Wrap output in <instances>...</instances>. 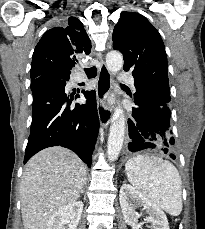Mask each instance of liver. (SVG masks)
Returning a JSON list of instances; mask_svg holds the SVG:
<instances>
[{"instance_id":"liver-1","label":"liver","mask_w":205,"mask_h":229,"mask_svg":"<svg viewBox=\"0 0 205 229\" xmlns=\"http://www.w3.org/2000/svg\"><path fill=\"white\" fill-rule=\"evenodd\" d=\"M86 180V167L74 152L56 146L35 154L20 185L24 229H46L56 211L79 198Z\"/></svg>"}]
</instances>
